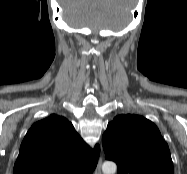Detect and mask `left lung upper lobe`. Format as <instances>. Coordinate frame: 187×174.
Returning a JSON list of instances; mask_svg holds the SVG:
<instances>
[{"label":"left lung upper lobe","mask_w":187,"mask_h":174,"mask_svg":"<svg viewBox=\"0 0 187 174\" xmlns=\"http://www.w3.org/2000/svg\"><path fill=\"white\" fill-rule=\"evenodd\" d=\"M105 158L118 174H174L167 143L148 119L132 114L114 118L103 134Z\"/></svg>","instance_id":"left-lung-upper-lobe-1"}]
</instances>
